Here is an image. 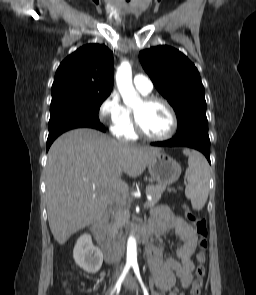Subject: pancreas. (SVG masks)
Wrapping results in <instances>:
<instances>
[{
    "label": "pancreas",
    "mask_w": 256,
    "mask_h": 295,
    "mask_svg": "<svg viewBox=\"0 0 256 295\" xmlns=\"http://www.w3.org/2000/svg\"><path fill=\"white\" fill-rule=\"evenodd\" d=\"M165 185H149L146 188L148 194L152 196V200L148 201L147 208L153 207L161 198L162 193L165 191ZM168 191H171L168 189ZM129 217V210L126 205V202H122L119 204L117 211L113 215V223L111 224V231L114 232L117 228L122 227L127 221Z\"/></svg>",
    "instance_id": "1"
}]
</instances>
